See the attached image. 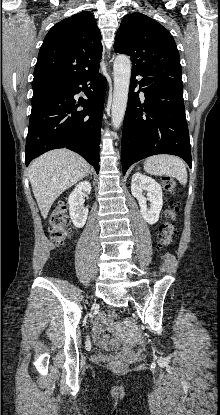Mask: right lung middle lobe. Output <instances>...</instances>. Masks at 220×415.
Here are the masks:
<instances>
[{"instance_id":"right-lung-middle-lobe-1","label":"right lung middle lobe","mask_w":220,"mask_h":415,"mask_svg":"<svg viewBox=\"0 0 220 415\" xmlns=\"http://www.w3.org/2000/svg\"><path fill=\"white\" fill-rule=\"evenodd\" d=\"M66 85L67 83L62 82H42L32 84V104L60 94Z\"/></svg>"}]
</instances>
